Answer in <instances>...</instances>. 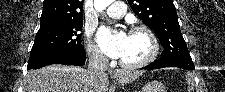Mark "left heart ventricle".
Segmentation results:
<instances>
[{
	"label": "left heart ventricle",
	"instance_id": "left-heart-ventricle-1",
	"mask_svg": "<svg viewBox=\"0 0 225 92\" xmlns=\"http://www.w3.org/2000/svg\"><path fill=\"white\" fill-rule=\"evenodd\" d=\"M150 51L151 44L144 33H129L121 60L127 63H135L146 58Z\"/></svg>",
	"mask_w": 225,
	"mask_h": 92
}]
</instances>
